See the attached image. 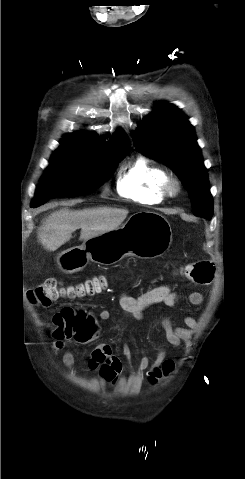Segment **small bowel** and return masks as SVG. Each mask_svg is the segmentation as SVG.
Listing matches in <instances>:
<instances>
[{"label": "small bowel", "instance_id": "small-bowel-1", "mask_svg": "<svg viewBox=\"0 0 245 479\" xmlns=\"http://www.w3.org/2000/svg\"><path fill=\"white\" fill-rule=\"evenodd\" d=\"M181 301L179 295L172 289L170 285H162L151 289L139 296H132L124 293L119 298V306L122 312L133 319L140 320L146 308L153 304L162 303L168 306H175ZM186 301L194 306H198L203 302L202 293L195 291L186 297ZM98 317L102 321H108L111 318V313L107 309L100 310ZM185 327H174L168 318H164L161 322L162 328L165 332L167 342L177 347L181 341L187 338L189 331L195 329L198 325L197 320L192 316H186L184 319ZM99 326L97 321L90 317L87 325L83 330V335L92 336L97 334ZM55 338V337H54ZM65 347L63 339L55 338L52 345V352L58 354L60 350ZM123 356L130 362L131 351L127 345L123 346ZM166 361V350L160 349L155 357V360L150 363L147 356H143L138 364L137 370L145 372L149 377L151 374L161 370ZM75 363V356L73 352H66L63 355V364L67 368H72ZM122 362L118 356L113 353L112 346L108 343H102L93 349L88 356V368L90 370H97L101 380L116 384L119 375L122 372ZM130 368H132L130 366Z\"/></svg>", "mask_w": 245, "mask_h": 479}]
</instances>
